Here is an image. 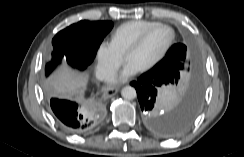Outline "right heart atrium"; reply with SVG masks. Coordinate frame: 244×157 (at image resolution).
<instances>
[{
	"label": "right heart atrium",
	"mask_w": 244,
	"mask_h": 157,
	"mask_svg": "<svg viewBox=\"0 0 244 157\" xmlns=\"http://www.w3.org/2000/svg\"><path fill=\"white\" fill-rule=\"evenodd\" d=\"M123 60L122 54L112 42L102 41L96 53V74L103 80H109L118 70Z\"/></svg>",
	"instance_id": "1"
}]
</instances>
